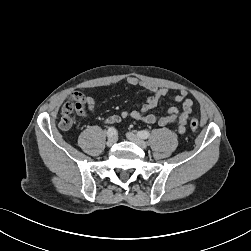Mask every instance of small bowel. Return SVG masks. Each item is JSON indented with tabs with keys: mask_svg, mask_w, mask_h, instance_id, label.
<instances>
[{
	"mask_svg": "<svg viewBox=\"0 0 251 251\" xmlns=\"http://www.w3.org/2000/svg\"><path fill=\"white\" fill-rule=\"evenodd\" d=\"M126 82L130 86H138L147 90L150 95L140 109L123 111L120 115L108 116L104 119L105 124H115L121 122L122 119L130 118L147 124L157 123L162 127L176 123V130L179 134H184L186 132L187 121L193 111V101L188 97L186 91L181 90L175 96V101L182 105L181 109L170 107L166 115L158 117L150 111L157 106L161 97L168 94L169 90L140 80L134 76L127 77ZM72 99L74 101L81 100L90 112H95L96 102L91 95L83 96L81 93L76 92L72 95Z\"/></svg>",
	"mask_w": 251,
	"mask_h": 251,
	"instance_id": "1",
	"label": "small bowel"
}]
</instances>
